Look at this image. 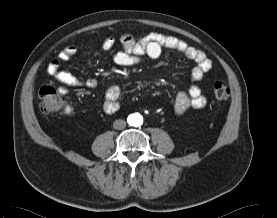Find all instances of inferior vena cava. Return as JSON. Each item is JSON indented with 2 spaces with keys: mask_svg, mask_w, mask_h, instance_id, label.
Masks as SVG:
<instances>
[{
  "mask_svg": "<svg viewBox=\"0 0 277 218\" xmlns=\"http://www.w3.org/2000/svg\"><path fill=\"white\" fill-rule=\"evenodd\" d=\"M114 126L117 129H121V128H124L126 126V122L124 120H116L114 122Z\"/></svg>",
  "mask_w": 277,
  "mask_h": 218,
  "instance_id": "inferior-vena-cava-1",
  "label": "inferior vena cava"
}]
</instances>
